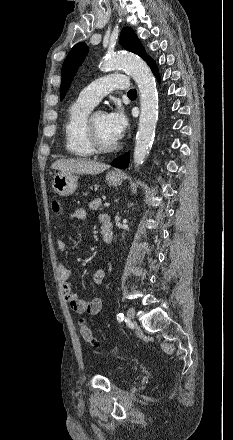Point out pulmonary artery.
<instances>
[{
    "mask_svg": "<svg viewBox=\"0 0 233 440\" xmlns=\"http://www.w3.org/2000/svg\"><path fill=\"white\" fill-rule=\"evenodd\" d=\"M128 87V79L125 75L110 74L91 82L80 92L78 99L91 106H95L102 97L112 90H127Z\"/></svg>",
    "mask_w": 233,
    "mask_h": 440,
    "instance_id": "1",
    "label": "pulmonary artery"
}]
</instances>
